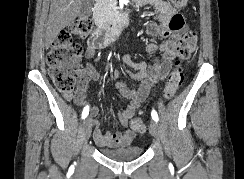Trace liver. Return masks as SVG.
<instances>
[{"mask_svg": "<svg viewBox=\"0 0 244 179\" xmlns=\"http://www.w3.org/2000/svg\"><path fill=\"white\" fill-rule=\"evenodd\" d=\"M83 0H51L50 14L46 28V48L56 36L78 16Z\"/></svg>", "mask_w": 244, "mask_h": 179, "instance_id": "obj_1", "label": "liver"}]
</instances>
